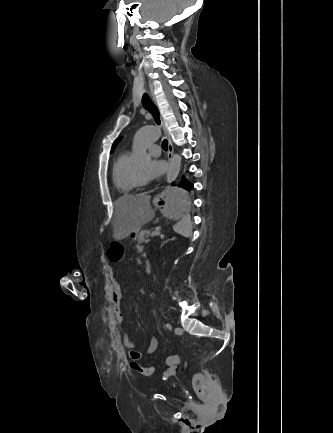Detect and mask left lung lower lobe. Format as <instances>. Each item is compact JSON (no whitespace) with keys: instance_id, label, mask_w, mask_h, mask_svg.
<instances>
[{"instance_id":"0a47b994","label":"left lung lower lobe","mask_w":333,"mask_h":433,"mask_svg":"<svg viewBox=\"0 0 333 433\" xmlns=\"http://www.w3.org/2000/svg\"><path fill=\"white\" fill-rule=\"evenodd\" d=\"M179 187H182L184 190L190 191L193 188V184L191 182H189L184 176L182 177ZM187 198V195H186ZM176 200L175 198H172L168 205L169 207H174L176 204Z\"/></svg>"}]
</instances>
